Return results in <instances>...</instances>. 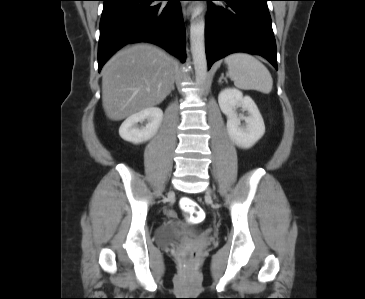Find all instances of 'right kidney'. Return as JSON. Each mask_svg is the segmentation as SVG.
I'll list each match as a JSON object with an SVG mask.
<instances>
[{"label": "right kidney", "instance_id": "1", "mask_svg": "<svg viewBox=\"0 0 365 299\" xmlns=\"http://www.w3.org/2000/svg\"><path fill=\"white\" fill-rule=\"evenodd\" d=\"M163 119V112L158 107L145 108L129 116L120 126L119 135L122 139L134 144L145 142L152 138L158 131ZM147 121L143 128L138 127L139 122Z\"/></svg>", "mask_w": 365, "mask_h": 299}]
</instances>
